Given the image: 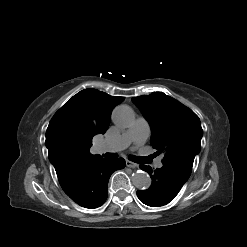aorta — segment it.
<instances>
[{
    "mask_svg": "<svg viewBox=\"0 0 247 247\" xmlns=\"http://www.w3.org/2000/svg\"><path fill=\"white\" fill-rule=\"evenodd\" d=\"M134 112L127 105L117 106L112 113V120L114 124L120 128H128L134 122ZM132 183L138 189H147L151 185L150 176L143 172L137 171L132 175Z\"/></svg>",
    "mask_w": 247,
    "mask_h": 247,
    "instance_id": "762f6f07",
    "label": "aorta"
}]
</instances>
